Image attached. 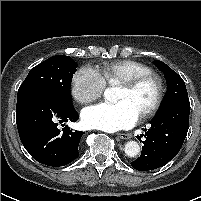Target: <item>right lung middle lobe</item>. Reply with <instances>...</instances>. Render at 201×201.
Masks as SVG:
<instances>
[{
	"instance_id": "obj_1",
	"label": "right lung middle lobe",
	"mask_w": 201,
	"mask_h": 201,
	"mask_svg": "<svg viewBox=\"0 0 201 201\" xmlns=\"http://www.w3.org/2000/svg\"><path fill=\"white\" fill-rule=\"evenodd\" d=\"M77 67L69 56L50 57L30 70L18 90L17 100L33 93H44L72 106L70 85Z\"/></svg>"
}]
</instances>
